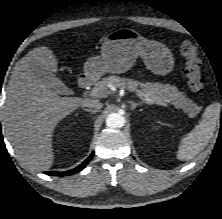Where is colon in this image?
I'll use <instances>...</instances> for the list:
<instances>
[{
  "instance_id": "obj_1",
  "label": "colon",
  "mask_w": 222,
  "mask_h": 219,
  "mask_svg": "<svg viewBox=\"0 0 222 219\" xmlns=\"http://www.w3.org/2000/svg\"><path fill=\"white\" fill-rule=\"evenodd\" d=\"M180 50L185 58V74L190 90L197 94L205 91V79L201 73V61L196 47L190 41H183Z\"/></svg>"
}]
</instances>
